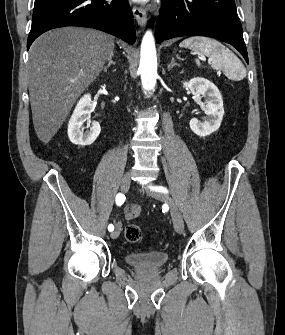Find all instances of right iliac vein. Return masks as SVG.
Segmentation results:
<instances>
[{
	"instance_id": "1",
	"label": "right iliac vein",
	"mask_w": 285,
	"mask_h": 335,
	"mask_svg": "<svg viewBox=\"0 0 285 335\" xmlns=\"http://www.w3.org/2000/svg\"><path fill=\"white\" fill-rule=\"evenodd\" d=\"M130 184H131V177H130L129 174H126L122 178V180H121V186H120L121 187V191L124 192V193H126L129 190V188H130ZM120 229H121L120 228V224L118 223L116 225L115 230L111 233V238L112 239L118 238V236L120 234Z\"/></svg>"
}]
</instances>
